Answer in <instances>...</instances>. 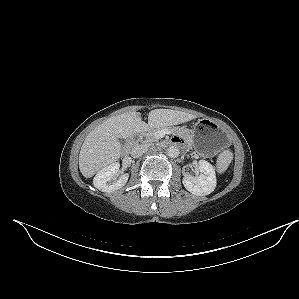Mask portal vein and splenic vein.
<instances>
[{
  "label": "portal vein and splenic vein",
  "instance_id": "1",
  "mask_svg": "<svg viewBox=\"0 0 299 299\" xmlns=\"http://www.w3.org/2000/svg\"><path fill=\"white\" fill-rule=\"evenodd\" d=\"M168 133H169V131L167 129H162L156 133V137L162 138L165 136V134H168Z\"/></svg>",
  "mask_w": 299,
  "mask_h": 299
}]
</instances>
